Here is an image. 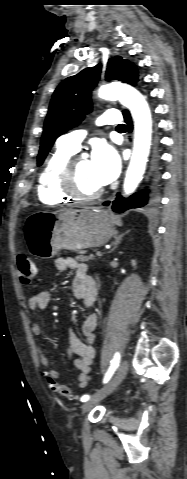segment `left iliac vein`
<instances>
[{
  "instance_id": "left-iliac-vein-1",
  "label": "left iliac vein",
  "mask_w": 187,
  "mask_h": 479,
  "mask_svg": "<svg viewBox=\"0 0 187 479\" xmlns=\"http://www.w3.org/2000/svg\"><path fill=\"white\" fill-rule=\"evenodd\" d=\"M128 372V362L123 360L119 365V368L114 375V377L109 381V383L100 390L95 396H93L90 400L85 402L82 406V412H88L93 406H95L100 400L108 396L112 391L116 389V387L122 382Z\"/></svg>"
}]
</instances>
